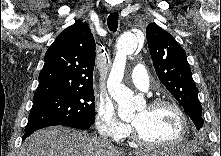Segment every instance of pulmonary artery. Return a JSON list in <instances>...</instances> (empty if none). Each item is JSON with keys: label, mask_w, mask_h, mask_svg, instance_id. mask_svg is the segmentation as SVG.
I'll use <instances>...</instances> for the list:
<instances>
[{"label": "pulmonary artery", "mask_w": 221, "mask_h": 156, "mask_svg": "<svg viewBox=\"0 0 221 156\" xmlns=\"http://www.w3.org/2000/svg\"><path fill=\"white\" fill-rule=\"evenodd\" d=\"M131 82L135 87L142 91H147L149 88V77L145 67L138 64L134 67L131 73Z\"/></svg>", "instance_id": "1"}]
</instances>
